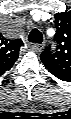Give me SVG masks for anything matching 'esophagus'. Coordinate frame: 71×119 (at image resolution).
I'll list each match as a JSON object with an SVG mask.
<instances>
[{"label": "esophagus", "mask_w": 71, "mask_h": 119, "mask_svg": "<svg viewBox=\"0 0 71 119\" xmlns=\"http://www.w3.org/2000/svg\"><path fill=\"white\" fill-rule=\"evenodd\" d=\"M44 48V44L43 43H37V44H33L31 45V50L34 52H41Z\"/></svg>", "instance_id": "obj_1"}]
</instances>
